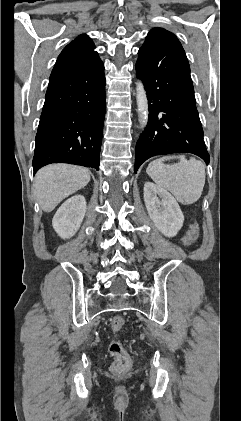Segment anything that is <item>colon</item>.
I'll use <instances>...</instances> for the list:
<instances>
[{
  "mask_svg": "<svg viewBox=\"0 0 241 421\" xmlns=\"http://www.w3.org/2000/svg\"><path fill=\"white\" fill-rule=\"evenodd\" d=\"M199 234V225L194 223L191 225L189 231L183 238V245L190 246L192 245ZM125 320L122 316H115L111 321V330L113 332V339L109 344V352L114 358L111 369L114 373H123L125 372L131 363V358L124 348L121 341L118 339V334L124 327Z\"/></svg>",
  "mask_w": 241,
  "mask_h": 421,
  "instance_id": "colon-1",
  "label": "colon"
}]
</instances>
